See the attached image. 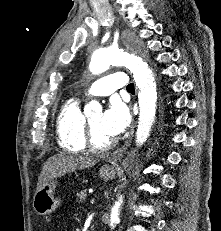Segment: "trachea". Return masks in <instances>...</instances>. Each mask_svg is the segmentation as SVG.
<instances>
[{
    "instance_id": "obj_1",
    "label": "trachea",
    "mask_w": 221,
    "mask_h": 231,
    "mask_svg": "<svg viewBox=\"0 0 221 231\" xmlns=\"http://www.w3.org/2000/svg\"><path fill=\"white\" fill-rule=\"evenodd\" d=\"M127 90H128V91H133V90H134V84H133V83L129 84V85L127 86Z\"/></svg>"
}]
</instances>
